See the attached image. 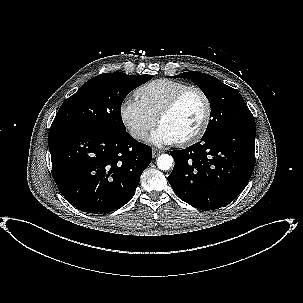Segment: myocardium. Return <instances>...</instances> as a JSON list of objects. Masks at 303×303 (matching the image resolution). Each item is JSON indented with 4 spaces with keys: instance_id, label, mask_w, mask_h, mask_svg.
I'll use <instances>...</instances> for the list:
<instances>
[{
    "instance_id": "f54148a6",
    "label": "myocardium",
    "mask_w": 303,
    "mask_h": 303,
    "mask_svg": "<svg viewBox=\"0 0 303 303\" xmlns=\"http://www.w3.org/2000/svg\"><path fill=\"white\" fill-rule=\"evenodd\" d=\"M190 92H197L198 94H200V96L204 100L205 113H204L203 120H202L200 126L198 127V129L190 136H188L180 141H177V143L181 146L191 145V144H194L197 141H199L203 137V135L206 133V131L209 127L211 117H212V104H211V101H210L208 95L206 94V92L203 89H201L200 87L188 86V87L182 89L181 91H179L176 95H174L171 98V100L163 107V109L159 112V114L156 117V122L158 125H160L161 121L165 117H167L169 114H171L177 108V106L179 105L181 100Z\"/></svg>"
}]
</instances>
